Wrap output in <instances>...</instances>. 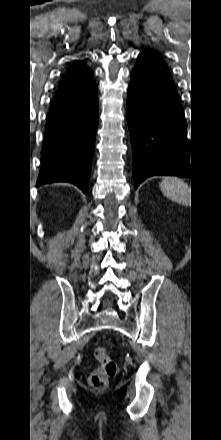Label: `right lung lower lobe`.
I'll return each instance as SVG.
<instances>
[{"label": "right lung lower lobe", "instance_id": "right-lung-lower-lobe-1", "mask_svg": "<svg viewBox=\"0 0 221 440\" xmlns=\"http://www.w3.org/2000/svg\"><path fill=\"white\" fill-rule=\"evenodd\" d=\"M97 125L98 98L94 80L59 87L49 111L38 186L69 182L87 193Z\"/></svg>", "mask_w": 221, "mask_h": 440}]
</instances>
